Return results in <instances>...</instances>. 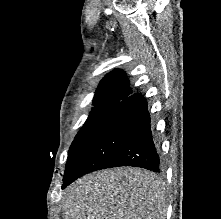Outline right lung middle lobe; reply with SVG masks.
Instances as JSON below:
<instances>
[{
	"instance_id": "obj_1",
	"label": "right lung middle lobe",
	"mask_w": 221,
	"mask_h": 219,
	"mask_svg": "<svg viewBox=\"0 0 221 219\" xmlns=\"http://www.w3.org/2000/svg\"><path fill=\"white\" fill-rule=\"evenodd\" d=\"M93 104L96 106L91 111L82 129L76 135L68 151V157L89 136V134L103 120V118L118 105V102H100V103H93Z\"/></svg>"
}]
</instances>
